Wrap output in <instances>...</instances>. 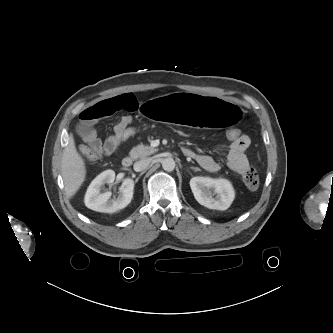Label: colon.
<instances>
[{"mask_svg": "<svg viewBox=\"0 0 333 333\" xmlns=\"http://www.w3.org/2000/svg\"><path fill=\"white\" fill-rule=\"evenodd\" d=\"M138 133L139 129L132 126L131 124H127L123 127L118 128L117 130V135L120 138L121 142L128 141L136 137ZM242 135V132L237 128H229L226 131L227 139L230 141L240 139ZM81 155L85 160L90 162L97 161L101 158V154L92 149H81ZM243 182L244 185L250 190H255L258 188L260 179L256 168L250 167L246 170L243 175Z\"/></svg>", "mask_w": 333, "mask_h": 333, "instance_id": "1", "label": "colon"}]
</instances>
